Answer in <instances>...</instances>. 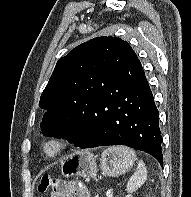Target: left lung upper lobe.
<instances>
[{
    "mask_svg": "<svg viewBox=\"0 0 191 197\" xmlns=\"http://www.w3.org/2000/svg\"><path fill=\"white\" fill-rule=\"evenodd\" d=\"M142 65L131 46L120 38L101 36L74 48L59 59L42 92L45 136L73 134L79 119L91 114L100 100L116 91Z\"/></svg>",
    "mask_w": 191,
    "mask_h": 197,
    "instance_id": "5c2ea615",
    "label": "left lung upper lobe"
}]
</instances>
